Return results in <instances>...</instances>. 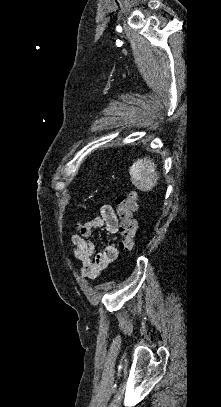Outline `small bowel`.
Returning <instances> with one entry per match:
<instances>
[{"instance_id":"1","label":"small bowel","mask_w":221,"mask_h":407,"mask_svg":"<svg viewBox=\"0 0 221 407\" xmlns=\"http://www.w3.org/2000/svg\"><path fill=\"white\" fill-rule=\"evenodd\" d=\"M118 218L112 206L104 204L100 213L86 222L77 221L76 230L70 236L69 247L76 260L81 263L82 278L93 280L117 257L118 251L114 241H110L102 252L95 253L91 239L93 231L100 229L116 236Z\"/></svg>"}]
</instances>
